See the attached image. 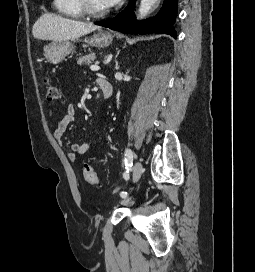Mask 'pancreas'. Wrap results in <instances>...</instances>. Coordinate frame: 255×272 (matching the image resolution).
Wrapping results in <instances>:
<instances>
[{
	"label": "pancreas",
	"instance_id": "pancreas-1",
	"mask_svg": "<svg viewBox=\"0 0 255 272\" xmlns=\"http://www.w3.org/2000/svg\"><path fill=\"white\" fill-rule=\"evenodd\" d=\"M95 60V54L94 53H90L88 55L79 57L77 59V64L78 65H83V64H91L93 61Z\"/></svg>",
	"mask_w": 255,
	"mask_h": 272
}]
</instances>
